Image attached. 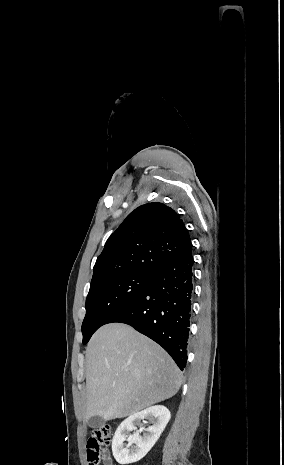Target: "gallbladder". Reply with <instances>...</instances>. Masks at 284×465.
Here are the masks:
<instances>
[{"instance_id":"1","label":"gallbladder","mask_w":284,"mask_h":465,"mask_svg":"<svg viewBox=\"0 0 284 465\" xmlns=\"http://www.w3.org/2000/svg\"><path fill=\"white\" fill-rule=\"evenodd\" d=\"M87 425L88 427H93V429H99V427L105 425V421L101 417H94V419H88Z\"/></svg>"}]
</instances>
